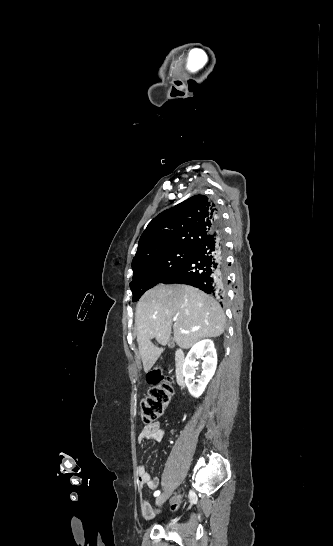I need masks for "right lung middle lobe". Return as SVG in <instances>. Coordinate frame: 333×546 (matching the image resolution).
I'll use <instances>...</instances> for the list:
<instances>
[{
  "instance_id": "obj_1",
  "label": "right lung middle lobe",
  "mask_w": 333,
  "mask_h": 546,
  "mask_svg": "<svg viewBox=\"0 0 333 546\" xmlns=\"http://www.w3.org/2000/svg\"><path fill=\"white\" fill-rule=\"evenodd\" d=\"M193 247H179L166 250L140 264L133 270V281L130 283L133 302L142 294L160 283L168 274L183 263L192 253Z\"/></svg>"
}]
</instances>
